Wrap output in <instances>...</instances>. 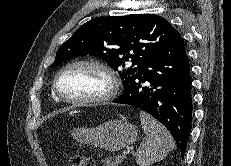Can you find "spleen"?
Returning <instances> with one entry per match:
<instances>
[{
    "mask_svg": "<svg viewBox=\"0 0 231 166\" xmlns=\"http://www.w3.org/2000/svg\"><path fill=\"white\" fill-rule=\"evenodd\" d=\"M140 120L146 135L136 152L139 166H150L163 160L175 148V141L170 132L156 119L144 111H140Z\"/></svg>",
    "mask_w": 231,
    "mask_h": 166,
    "instance_id": "spleen-1",
    "label": "spleen"
}]
</instances>
